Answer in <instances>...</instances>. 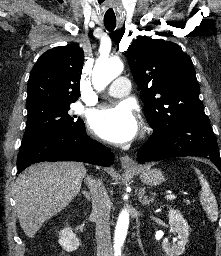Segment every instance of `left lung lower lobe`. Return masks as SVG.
I'll use <instances>...</instances> for the list:
<instances>
[{"mask_svg": "<svg viewBox=\"0 0 221 256\" xmlns=\"http://www.w3.org/2000/svg\"><path fill=\"white\" fill-rule=\"evenodd\" d=\"M199 156L210 159L221 171V158L210 121L183 122L154 131L143 144L137 160L158 161L172 157Z\"/></svg>", "mask_w": 221, "mask_h": 256, "instance_id": "obj_1", "label": "left lung lower lobe"}]
</instances>
